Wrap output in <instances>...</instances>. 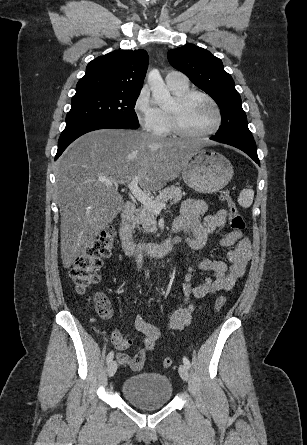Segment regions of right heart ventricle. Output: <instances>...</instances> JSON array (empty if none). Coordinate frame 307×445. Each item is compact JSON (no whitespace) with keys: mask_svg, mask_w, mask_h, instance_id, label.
Returning a JSON list of instances; mask_svg holds the SVG:
<instances>
[{"mask_svg":"<svg viewBox=\"0 0 307 445\" xmlns=\"http://www.w3.org/2000/svg\"><path fill=\"white\" fill-rule=\"evenodd\" d=\"M168 87H169V90L173 96H178V95L184 94L185 92H187L189 90L188 84L187 85L168 84ZM160 112H161V117H162L160 132L167 134V133L171 132V128L168 123L166 112H165V110H160Z\"/></svg>","mask_w":307,"mask_h":445,"instance_id":"right-heart-ventricle-1","label":"right heart ventricle"}]
</instances>
